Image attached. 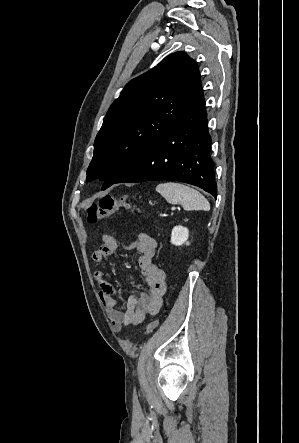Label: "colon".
<instances>
[{
  "mask_svg": "<svg viewBox=\"0 0 299 443\" xmlns=\"http://www.w3.org/2000/svg\"><path fill=\"white\" fill-rule=\"evenodd\" d=\"M121 209H136V207L128 199H115L110 195H104L97 203L88 206L87 221L90 224H95ZM159 325V319L151 321L146 327V333H152Z\"/></svg>",
  "mask_w": 299,
  "mask_h": 443,
  "instance_id": "5ec220e1",
  "label": "colon"
}]
</instances>
